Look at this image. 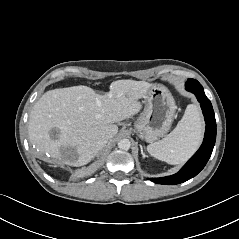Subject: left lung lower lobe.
I'll list each match as a JSON object with an SVG mask.
<instances>
[{"instance_id": "1", "label": "left lung lower lobe", "mask_w": 239, "mask_h": 239, "mask_svg": "<svg viewBox=\"0 0 239 239\" xmlns=\"http://www.w3.org/2000/svg\"><path fill=\"white\" fill-rule=\"evenodd\" d=\"M185 88L195 94L203 110L206 123L204 140L199 150L178 173L167 177L150 179L157 184H179L196 176L205 167L215 145L216 121L210 100L206 97L203 87L198 81L186 82Z\"/></svg>"}]
</instances>
